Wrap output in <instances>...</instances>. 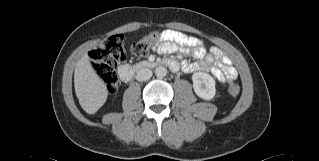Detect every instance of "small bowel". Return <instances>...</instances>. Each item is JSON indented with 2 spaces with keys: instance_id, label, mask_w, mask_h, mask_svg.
I'll return each mask as SVG.
<instances>
[{
  "instance_id": "1",
  "label": "small bowel",
  "mask_w": 319,
  "mask_h": 161,
  "mask_svg": "<svg viewBox=\"0 0 319 161\" xmlns=\"http://www.w3.org/2000/svg\"><path fill=\"white\" fill-rule=\"evenodd\" d=\"M161 43L157 52L171 54L176 51L190 54L196 62L184 61L182 70L186 73H193L199 70L211 71L220 82H232L237 78V70L228 57L217 48L212 47L206 50L204 43L197 38L188 36L175 30H165L161 33ZM213 64V66H211Z\"/></svg>"
}]
</instances>
